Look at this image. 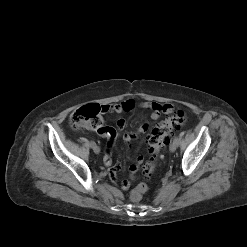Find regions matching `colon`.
Wrapping results in <instances>:
<instances>
[{
    "mask_svg": "<svg viewBox=\"0 0 247 247\" xmlns=\"http://www.w3.org/2000/svg\"><path fill=\"white\" fill-rule=\"evenodd\" d=\"M103 106L97 104L84 105L75 110L70 116V123L76 129H89L98 131L102 127ZM187 121L183 111H177L173 116L166 119L159 126L155 127L148 138L150 160L143 166V173L150 176L156 167V157L161 148L166 144L169 137L181 130ZM148 191V186L140 183L130 193L132 201H139Z\"/></svg>",
    "mask_w": 247,
    "mask_h": 247,
    "instance_id": "1",
    "label": "colon"
}]
</instances>
